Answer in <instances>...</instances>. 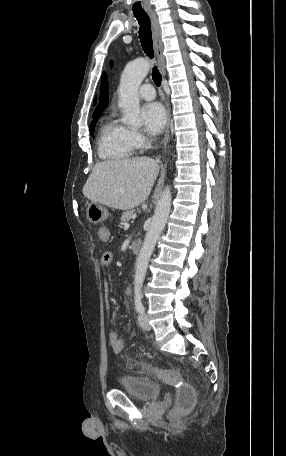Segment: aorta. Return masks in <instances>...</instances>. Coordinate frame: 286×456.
I'll return each instance as SVG.
<instances>
[{"label":"aorta","instance_id":"obj_1","mask_svg":"<svg viewBox=\"0 0 286 456\" xmlns=\"http://www.w3.org/2000/svg\"><path fill=\"white\" fill-rule=\"evenodd\" d=\"M150 62L139 58L126 65L120 79L119 106L124 110L123 122L133 126L141 125L140 104L138 89L143 79L150 70ZM171 190L166 186L152 217L151 225L146 233L143 245L140 249L134 275V289L140 291L146 276L148 263L167 222L171 209Z\"/></svg>","mask_w":286,"mask_h":456}]
</instances>
